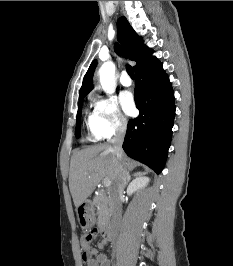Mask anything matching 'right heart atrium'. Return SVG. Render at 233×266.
Listing matches in <instances>:
<instances>
[{
  "label": "right heart atrium",
  "mask_w": 233,
  "mask_h": 266,
  "mask_svg": "<svg viewBox=\"0 0 233 266\" xmlns=\"http://www.w3.org/2000/svg\"><path fill=\"white\" fill-rule=\"evenodd\" d=\"M127 119L113 96L100 97L95 101L92 132L99 138H111L125 132Z\"/></svg>",
  "instance_id": "right-heart-atrium-1"
}]
</instances>
